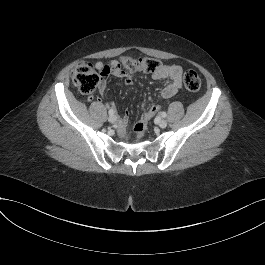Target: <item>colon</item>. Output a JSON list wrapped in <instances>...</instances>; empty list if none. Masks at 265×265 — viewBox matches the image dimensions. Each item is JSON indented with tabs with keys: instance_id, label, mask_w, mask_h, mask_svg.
Returning a JSON list of instances; mask_svg holds the SVG:
<instances>
[{
	"instance_id": "colon-1",
	"label": "colon",
	"mask_w": 265,
	"mask_h": 265,
	"mask_svg": "<svg viewBox=\"0 0 265 265\" xmlns=\"http://www.w3.org/2000/svg\"><path fill=\"white\" fill-rule=\"evenodd\" d=\"M120 66L125 73H154L162 66L158 59L151 57L135 58L125 56L120 61ZM100 81V74L96 71L93 64L83 61L75 66L72 72L73 85L84 94H89L95 90ZM183 83L186 90L196 92L200 89L201 80L194 70H187L183 75ZM158 106L150 107L134 125V131L138 140L143 139L149 121L158 112Z\"/></svg>"
}]
</instances>
